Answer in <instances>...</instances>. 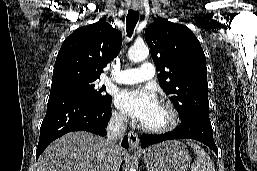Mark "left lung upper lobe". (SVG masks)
<instances>
[{
    "label": "left lung upper lobe",
    "instance_id": "left-lung-upper-lobe-1",
    "mask_svg": "<svg viewBox=\"0 0 257 171\" xmlns=\"http://www.w3.org/2000/svg\"><path fill=\"white\" fill-rule=\"evenodd\" d=\"M159 82L180 113L209 117L206 58L193 32L182 24L157 19L145 31Z\"/></svg>",
    "mask_w": 257,
    "mask_h": 171
}]
</instances>
